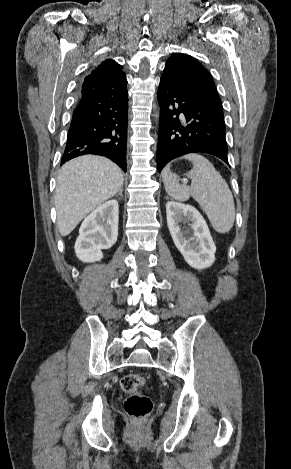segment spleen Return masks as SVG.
I'll use <instances>...</instances> for the list:
<instances>
[{
  "mask_svg": "<svg viewBox=\"0 0 291 469\" xmlns=\"http://www.w3.org/2000/svg\"><path fill=\"white\" fill-rule=\"evenodd\" d=\"M184 159L193 164L187 174L191 186L179 184L168 165L162 172L167 194L178 201H186L192 196L206 213L215 231L222 234L229 232L235 221V204L227 182L204 156L192 153L184 156Z\"/></svg>",
  "mask_w": 291,
  "mask_h": 469,
  "instance_id": "3e777b00",
  "label": "spleen"
}]
</instances>
